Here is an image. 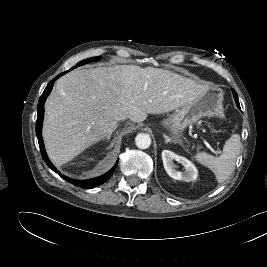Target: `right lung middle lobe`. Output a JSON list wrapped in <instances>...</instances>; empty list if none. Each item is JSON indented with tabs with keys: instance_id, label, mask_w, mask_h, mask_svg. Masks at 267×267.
<instances>
[{
	"instance_id": "1",
	"label": "right lung middle lobe",
	"mask_w": 267,
	"mask_h": 267,
	"mask_svg": "<svg viewBox=\"0 0 267 267\" xmlns=\"http://www.w3.org/2000/svg\"><path fill=\"white\" fill-rule=\"evenodd\" d=\"M99 59H100V57H92V58L83 60V61L79 62L77 65H75V66H74L73 68H71V69H74V68H76V67H78V66H80V65L89 63L90 61H96V60H99Z\"/></svg>"
}]
</instances>
